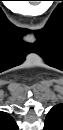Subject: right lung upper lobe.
<instances>
[{"label":"right lung upper lobe","mask_w":63,"mask_h":130,"mask_svg":"<svg viewBox=\"0 0 63 130\" xmlns=\"http://www.w3.org/2000/svg\"><path fill=\"white\" fill-rule=\"evenodd\" d=\"M0 124H1V127H3V129H6V130H17L18 128L14 119L4 112L0 113Z\"/></svg>","instance_id":"right-lung-upper-lobe-1"}]
</instances>
